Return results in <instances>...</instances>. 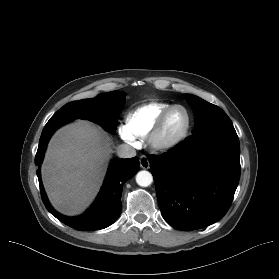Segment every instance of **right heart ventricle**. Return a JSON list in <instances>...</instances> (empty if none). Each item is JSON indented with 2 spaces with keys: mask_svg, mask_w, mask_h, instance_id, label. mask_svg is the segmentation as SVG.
Segmentation results:
<instances>
[{
  "mask_svg": "<svg viewBox=\"0 0 279 279\" xmlns=\"http://www.w3.org/2000/svg\"><path fill=\"white\" fill-rule=\"evenodd\" d=\"M171 105L164 101L143 104L126 115L125 128L134 138L144 139L148 136L159 115Z\"/></svg>",
  "mask_w": 279,
  "mask_h": 279,
  "instance_id": "1",
  "label": "right heart ventricle"
}]
</instances>
